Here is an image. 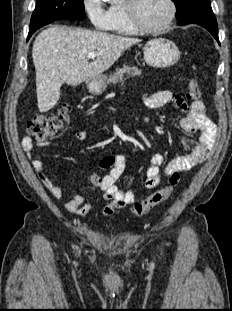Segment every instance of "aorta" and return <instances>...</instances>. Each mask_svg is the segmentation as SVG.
<instances>
[{"instance_id":"aorta-1","label":"aorta","mask_w":232,"mask_h":311,"mask_svg":"<svg viewBox=\"0 0 232 311\" xmlns=\"http://www.w3.org/2000/svg\"><path fill=\"white\" fill-rule=\"evenodd\" d=\"M104 1L111 4L119 2V0H104Z\"/></svg>"}]
</instances>
